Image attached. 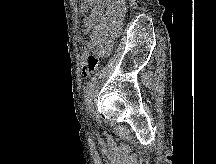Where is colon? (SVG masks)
Wrapping results in <instances>:
<instances>
[{
  "instance_id": "5ec220e1",
  "label": "colon",
  "mask_w": 216,
  "mask_h": 164,
  "mask_svg": "<svg viewBox=\"0 0 216 164\" xmlns=\"http://www.w3.org/2000/svg\"><path fill=\"white\" fill-rule=\"evenodd\" d=\"M98 66V57L94 54L87 56L82 62V72L85 77L95 72Z\"/></svg>"
}]
</instances>
